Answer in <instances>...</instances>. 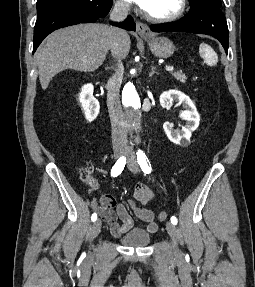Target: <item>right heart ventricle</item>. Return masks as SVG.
<instances>
[{
	"instance_id": "e07e8e85",
	"label": "right heart ventricle",
	"mask_w": 255,
	"mask_h": 287,
	"mask_svg": "<svg viewBox=\"0 0 255 287\" xmlns=\"http://www.w3.org/2000/svg\"><path fill=\"white\" fill-rule=\"evenodd\" d=\"M132 39V38H130ZM136 39H143V38H136ZM131 48H143V47H131Z\"/></svg>"
}]
</instances>
